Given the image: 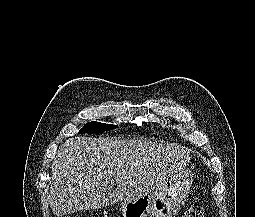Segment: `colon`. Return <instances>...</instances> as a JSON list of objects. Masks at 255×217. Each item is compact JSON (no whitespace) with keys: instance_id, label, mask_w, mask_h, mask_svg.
<instances>
[{"instance_id":"colon-1","label":"colon","mask_w":255,"mask_h":217,"mask_svg":"<svg viewBox=\"0 0 255 217\" xmlns=\"http://www.w3.org/2000/svg\"><path fill=\"white\" fill-rule=\"evenodd\" d=\"M183 217H204L203 207L197 203H192L185 211Z\"/></svg>"}]
</instances>
